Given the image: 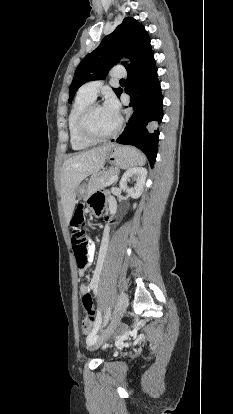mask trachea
<instances>
[{"instance_id":"3493384b","label":"trachea","mask_w":233,"mask_h":414,"mask_svg":"<svg viewBox=\"0 0 233 414\" xmlns=\"http://www.w3.org/2000/svg\"><path fill=\"white\" fill-rule=\"evenodd\" d=\"M120 82H121V83H124V82H125V79H121V80H120Z\"/></svg>"}]
</instances>
